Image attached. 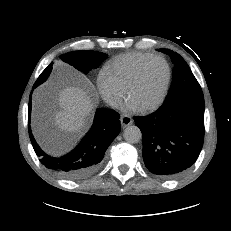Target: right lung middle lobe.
<instances>
[{"label": "right lung middle lobe", "instance_id": "right-lung-middle-lobe-1", "mask_svg": "<svg viewBox=\"0 0 231 231\" xmlns=\"http://www.w3.org/2000/svg\"><path fill=\"white\" fill-rule=\"evenodd\" d=\"M60 58L64 62L74 66L77 70L87 73L89 70L97 68L106 59V54L96 51H74L61 55ZM52 65L53 63H50L41 73L33 88L46 81L52 70Z\"/></svg>", "mask_w": 231, "mask_h": 231}]
</instances>
